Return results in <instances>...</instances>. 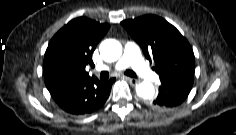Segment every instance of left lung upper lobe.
<instances>
[{
	"label": "left lung upper lobe",
	"instance_id": "obj_1",
	"mask_svg": "<svg viewBox=\"0 0 236 135\" xmlns=\"http://www.w3.org/2000/svg\"><path fill=\"white\" fill-rule=\"evenodd\" d=\"M121 24L141 46L150 63L154 60L153 70L160 78L194 76L195 58L189 42L165 19L145 15Z\"/></svg>",
	"mask_w": 236,
	"mask_h": 135
}]
</instances>
